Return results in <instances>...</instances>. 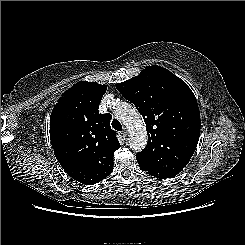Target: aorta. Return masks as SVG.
Listing matches in <instances>:
<instances>
[{"label": "aorta", "mask_w": 245, "mask_h": 245, "mask_svg": "<svg viewBox=\"0 0 245 245\" xmlns=\"http://www.w3.org/2000/svg\"><path fill=\"white\" fill-rule=\"evenodd\" d=\"M114 113L129 130L130 148L136 152L144 149L147 144V132L143 117L132 105L122 101L115 103Z\"/></svg>", "instance_id": "1"}]
</instances>
